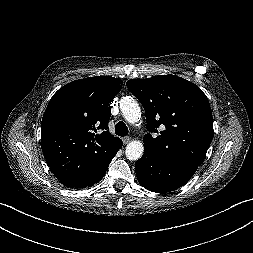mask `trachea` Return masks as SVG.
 I'll return each instance as SVG.
<instances>
[{"label":"trachea","mask_w":253,"mask_h":253,"mask_svg":"<svg viewBox=\"0 0 253 253\" xmlns=\"http://www.w3.org/2000/svg\"><path fill=\"white\" fill-rule=\"evenodd\" d=\"M128 132H129L128 128L123 121H120L116 124L115 126L116 135L124 137L128 134Z\"/></svg>","instance_id":"obj_1"}]
</instances>
